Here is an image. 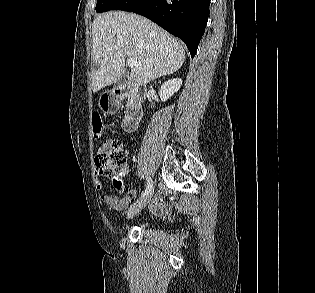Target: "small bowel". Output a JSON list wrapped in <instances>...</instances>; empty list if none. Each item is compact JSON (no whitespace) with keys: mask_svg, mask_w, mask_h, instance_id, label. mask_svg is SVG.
Returning <instances> with one entry per match:
<instances>
[{"mask_svg":"<svg viewBox=\"0 0 315 293\" xmlns=\"http://www.w3.org/2000/svg\"><path fill=\"white\" fill-rule=\"evenodd\" d=\"M112 142L113 140H109L106 143H104L100 147L99 153L107 150ZM96 188L98 190H101L103 188L102 182L99 179L96 180ZM128 195L129 196L127 198H119L110 194H102L100 198L101 201L105 203L111 210H123L124 208L127 207L130 200H133L135 192L133 190H130L128 192ZM150 210L154 214H162L163 212H165L166 204L164 200L161 198L155 199L150 206Z\"/></svg>","mask_w":315,"mask_h":293,"instance_id":"small-bowel-1","label":"small bowel"}]
</instances>
